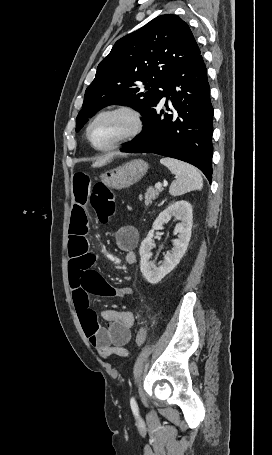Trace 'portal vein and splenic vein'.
Returning a JSON list of instances; mask_svg holds the SVG:
<instances>
[{"label": "portal vein and splenic vein", "mask_w": 272, "mask_h": 455, "mask_svg": "<svg viewBox=\"0 0 272 455\" xmlns=\"http://www.w3.org/2000/svg\"><path fill=\"white\" fill-rule=\"evenodd\" d=\"M155 188H157V189L162 188V184H161V183H156V184H155Z\"/></svg>", "instance_id": "1"}]
</instances>
